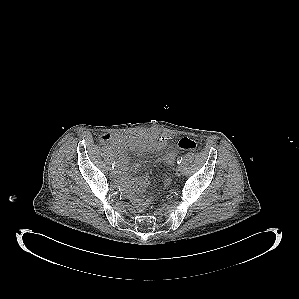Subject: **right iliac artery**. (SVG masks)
I'll return each instance as SVG.
<instances>
[{"label": "right iliac artery", "instance_id": "obj_1", "mask_svg": "<svg viewBox=\"0 0 299 299\" xmlns=\"http://www.w3.org/2000/svg\"><path fill=\"white\" fill-rule=\"evenodd\" d=\"M114 167H115V163L112 164V168H114Z\"/></svg>", "mask_w": 299, "mask_h": 299}]
</instances>
